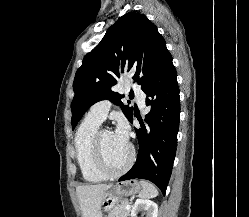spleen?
<instances>
[{"label":"spleen","mask_w":249,"mask_h":217,"mask_svg":"<svg viewBox=\"0 0 249 217\" xmlns=\"http://www.w3.org/2000/svg\"><path fill=\"white\" fill-rule=\"evenodd\" d=\"M140 184L142 186V190L139 193V196L142 198H153L158 195V190L157 188L151 184L150 182L141 180Z\"/></svg>","instance_id":"spleen-1"}]
</instances>
